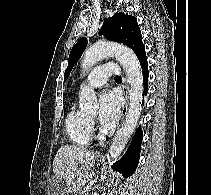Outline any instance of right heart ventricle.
<instances>
[{"label": "right heart ventricle", "mask_w": 211, "mask_h": 195, "mask_svg": "<svg viewBox=\"0 0 211 195\" xmlns=\"http://www.w3.org/2000/svg\"><path fill=\"white\" fill-rule=\"evenodd\" d=\"M90 117L83 111L71 108L66 118V131L71 141L79 146H87L92 137Z\"/></svg>", "instance_id": "right-heart-ventricle-1"}]
</instances>
